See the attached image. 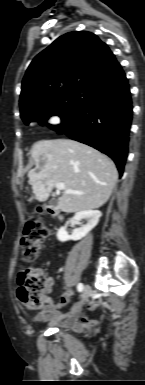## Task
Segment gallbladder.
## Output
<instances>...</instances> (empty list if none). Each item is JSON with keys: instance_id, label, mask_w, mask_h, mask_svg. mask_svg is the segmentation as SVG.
Segmentation results:
<instances>
[{"instance_id": "obj_1", "label": "gallbladder", "mask_w": 145, "mask_h": 385, "mask_svg": "<svg viewBox=\"0 0 145 385\" xmlns=\"http://www.w3.org/2000/svg\"><path fill=\"white\" fill-rule=\"evenodd\" d=\"M49 204L50 206L54 207L58 204V201L56 199H52Z\"/></svg>"}]
</instances>
